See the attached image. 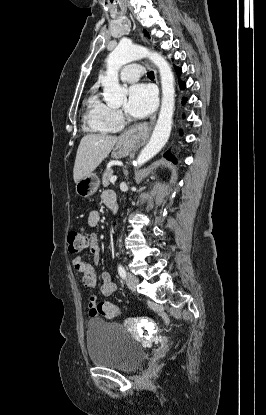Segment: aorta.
<instances>
[{
  "label": "aorta",
  "instance_id": "obj_1",
  "mask_svg": "<svg viewBox=\"0 0 266 415\" xmlns=\"http://www.w3.org/2000/svg\"><path fill=\"white\" fill-rule=\"evenodd\" d=\"M144 57H148L158 67L162 85V101L153 134L148 144L140 152L135 166H141L154 157L170 137L175 106L172 69L160 54L139 45L122 42L109 54L106 75L102 78L104 100L110 106H120L126 99L127 90L119 84V69L131 61Z\"/></svg>",
  "mask_w": 266,
  "mask_h": 415
}]
</instances>
